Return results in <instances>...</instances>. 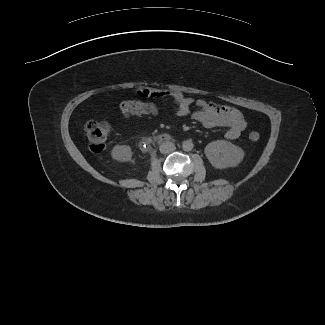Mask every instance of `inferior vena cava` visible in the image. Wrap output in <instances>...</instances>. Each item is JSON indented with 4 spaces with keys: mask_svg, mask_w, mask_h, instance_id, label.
Wrapping results in <instances>:
<instances>
[{
    "mask_svg": "<svg viewBox=\"0 0 325 325\" xmlns=\"http://www.w3.org/2000/svg\"><path fill=\"white\" fill-rule=\"evenodd\" d=\"M175 145L171 142H164L160 145V152L163 154L171 153L175 150Z\"/></svg>",
    "mask_w": 325,
    "mask_h": 325,
    "instance_id": "1",
    "label": "inferior vena cava"
}]
</instances>
